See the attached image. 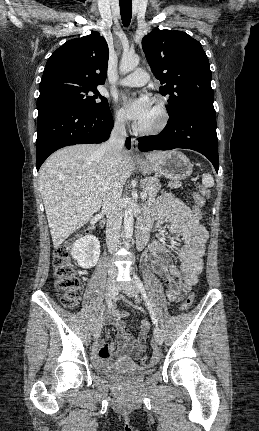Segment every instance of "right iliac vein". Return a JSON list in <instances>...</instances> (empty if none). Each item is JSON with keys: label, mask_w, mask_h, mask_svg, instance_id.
<instances>
[{"label": "right iliac vein", "mask_w": 259, "mask_h": 431, "mask_svg": "<svg viewBox=\"0 0 259 431\" xmlns=\"http://www.w3.org/2000/svg\"><path fill=\"white\" fill-rule=\"evenodd\" d=\"M117 291V286L115 282V276L112 275L106 284V301H111V299L115 296ZM103 326V320L102 318H99L93 328V336L94 338H97L100 335L101 329Z\"/></svg>", "instance_id": "63e3f726"}]
</instances>
